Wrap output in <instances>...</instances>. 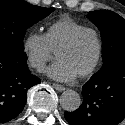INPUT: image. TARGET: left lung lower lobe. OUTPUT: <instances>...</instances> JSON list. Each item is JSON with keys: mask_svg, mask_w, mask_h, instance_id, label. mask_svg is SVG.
<instances>
[{"mask_svg": "<svg viewBox=\"0 0 125 125\" xmlns=\"http://www.w3.org/2000/svg\"><path fill=\"white\" fill-rule=\"evenodd\" d=\"M82 91L80 107L64 113L70 125H118L125 118V61L98 71Z\"/></svg>", "mask_w": 125, "mask_h": 125, "instance_id": "left-lung-lower-lobe-1", "label": "left lung lower lobe"}]
</instances>
